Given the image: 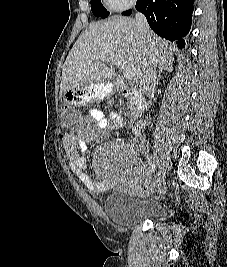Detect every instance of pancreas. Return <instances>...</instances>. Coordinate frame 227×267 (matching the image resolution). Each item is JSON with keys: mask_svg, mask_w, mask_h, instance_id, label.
I'll return each instance as SVG.
<instances>
[{"mask_svg": "<svg viewBox=\"0 0 227 267\" xmlns=\"http://www.w3.org/2000/svg\"><path fill=\"white\" fill-rule=\"evenodd\" d=\"M130 105L133 106L134 102L132 101V99L130 100Z\"/></svg>", "mask_w": 227, "mask_h": 267, "instance_id": "pancreas-1", "label": "pancreas"}]
</instances>
